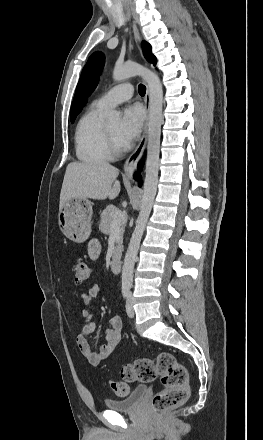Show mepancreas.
Segmentation results:
<instances>
[{
    "instance_id": "cf45deb5",
    "label": "pancreas",
    "mask_w": 263,
    "mask_h": 440,
    "mask_svg": "<svg viewBox=\"0 0 263 440\" xmlns=\"http://www.w3.org/2000/svg\"><path fill=\"white\" fill-rule=\"evenodd\" d=\"M117 211H120L117 207L114 205H108L104 211L101 213V221L99 227L101 228L102 232L104 234H109L111 230V224L114 220L115 213ZM121 228L119 230V237L116 241V247L114 249V255L113 259L118 257L122 250V240H123V233H124V223H121Z\"/></svg>"
}]
</instances>
